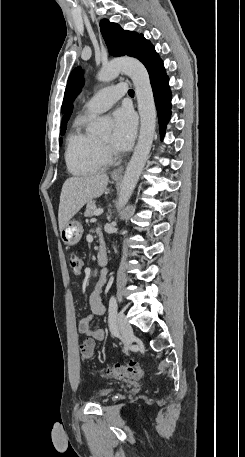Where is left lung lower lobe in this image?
<instances>
[{"label": "left lung lower lobe", "mask_w": 245, "mask_h": 457, "mask_svg": "<svg viewBox=\"0 0 245 457\" xmlns=\"http://www.w3.org/2000/svg\"><path fill=\"white\" fill-rule=\"evenodd\" d=\"M141 62L147 68L157 108L159 131L164 137L166 125L171 117V92L169 78L165 74L163 61L155 51L150 52Z\"/></svg>", "instance_id": "1"}]
</instances>
